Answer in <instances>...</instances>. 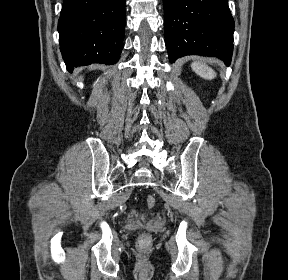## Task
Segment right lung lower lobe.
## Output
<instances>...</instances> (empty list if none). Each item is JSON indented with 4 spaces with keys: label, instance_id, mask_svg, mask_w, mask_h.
Wrapping results in <instances>:
<instances>
[{
    "label": "right lung lower lobe",
    "instance_id": "98d812e1",
    "mask_svg": "<svg viewBox=\"0 0 288 280\" xmlns=\"http://www.w3.org/2000/svg\"><path fill=\"white\" fill-rule=\"evenodd\" d=\"M126 0H63L58 22L67 70L117 63L123 49Z\"/></svg>",
    "mask_w": 288,
    "mask_h": 280
}]
</instances>
